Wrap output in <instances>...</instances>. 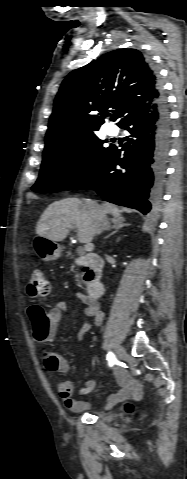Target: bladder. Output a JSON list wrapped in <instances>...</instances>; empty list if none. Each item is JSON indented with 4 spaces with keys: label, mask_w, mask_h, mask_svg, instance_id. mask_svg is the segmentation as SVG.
<instances>
[{
    "label": "bladder",
    "mask_w": 187,
    "mask_h": 479,
    "mask_svg": "<svg viewBox=\"0 0 187 479\" xmlns=\"http://www.w3.org/2000/svg\"><path fill=\"white\" fill-rule=\"evenodd\" d=\"M96 417L98 418V420H101L103 422H109V419L104 415L99 414V415H96Z\"/></svg>",
    "instance_id": "bladder-1"
}]
</instances>
